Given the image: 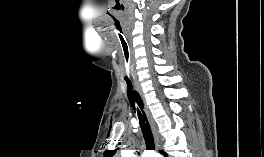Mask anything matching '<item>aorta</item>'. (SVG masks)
Here are the masks:
<instances>
[{"label": "aorta", "instance_id": "aorta-1", "mask_svg": "<svg viewBox=\"0 0 264 157\" xmlns=\"http://www.w3.org/2000/svg\"><path fill=\"white\" fill-rule=\"evenodd\" d=\"M123 155H126V156H124V157H129V156H128V155H129L128 153H123Z\"/></svg>", "mask_w": 264, "mask_h": 157}]
</instances>
